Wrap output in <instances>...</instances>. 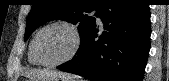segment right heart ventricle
Listing matches in <instances>:
<instances>
[{
  "instance_id": "obj_1",
  "label": "right heart ventricle",
  "mask_w": 169,
  "mask_h": 81,
  "mask_svg": "<svg viewBox=\"0 0 169 81\" xmlns=\"http://www.w3.org/2000/svg\"><path fill=\"white\" fill-rule=\"evenodd\" d=\"M33 40L34 38L31 40L30 44H29V49H28V62L32 65H38V62L36 61V59L34 58L33 52H32V45H33Z\"/></svg>"
}]
</instances>
